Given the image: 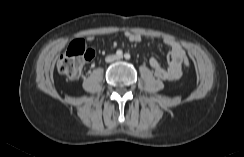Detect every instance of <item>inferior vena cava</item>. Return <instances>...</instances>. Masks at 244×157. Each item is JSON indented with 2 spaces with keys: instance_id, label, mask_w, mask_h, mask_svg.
Returning a JSON list of instances; mask_svg holds the SVG:
<instances>
[{
  "instance_id": "obj_1",
  "label": "inferior vena cava",
  "mask_w": 244,
  "mask_h": 157,
  "mask_svg": "<svg viewBox=\"0 0 244 157\" xmlns=\"http://www.w3.org/2000/svg\"><path fill=\"white\" fill-rule=\"evenodd\" d=\"M116 59V56L115 55H110V56H107L106 57V62H112Z\"/></svg>"
}]
</instances>
